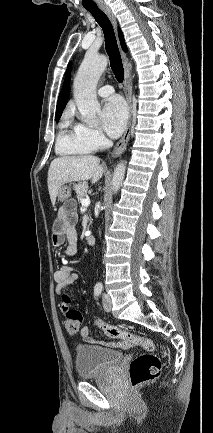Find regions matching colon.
Returning a JSON list of instances; mask_svg holds the SVG:
<instances>
[{
  "instance_id": "obj_1",
  "label": "colon",
  "mask_w": 213,
  "mask_h": 433,
  "mask_svg": "<svg viewBox=\"0 0 213 433\" xmlns=\"http://www.w3.org/2000/svg\"><path fill=\"white\" fill-rule=\"evenodd\" d=\"M69 301L68 297H64ZM95 327L110 338L120 339L129 345L141 347L146 353L137 356L129 366V379L132 387H139L156 379L161 370L160 359L153 354L156 343L150 338L140 337L120 327L108 324L103 320H95ZM63 326L70 336H77L83 328L82 315L78 310H71L65 314Z\"/></svg>"
}]
</instances>
